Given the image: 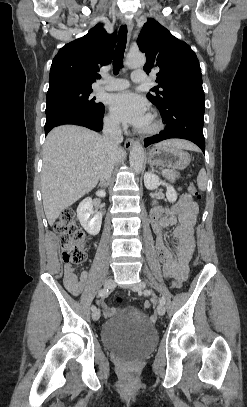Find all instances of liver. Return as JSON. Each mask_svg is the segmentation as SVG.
I'll return each instance as SVG.
<instances>
[{
  "label": "liver",
  "mask_w": 247,
  "mask_h": 407,
  "mask_svg": "<svg viewBox=\"0 0 247 407\" xmlns=\"http://www.w3.org/2000/svg\"><path fill=\"white\" fill-rule=\"evenodd\" d=\"M163 143L181 149L196 148L186 140ZM104 151L102 136L84 127L62 125L47 135L43 148L41 192L50 226L64 209L97 185ZM123 156L124 152L118 149L116 160Z\"/></svg>",
  "instance_id": "6515ba94"
}]
</instances>
